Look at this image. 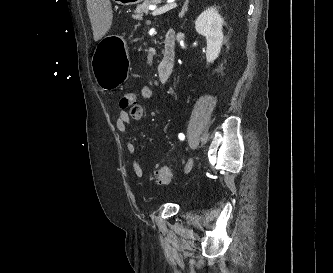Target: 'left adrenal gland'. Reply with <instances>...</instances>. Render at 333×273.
I'll return each mask as SVG.
<instances>
[{
    "instance_id": "left-adrenal-gland-1",
    "label": "left adrenal gland",
    "mask_w": 333,
    "mask_h": 273,
    "mask_svg": "<svg viewBox=\"0 0 333 273\" xmlns=\"http://www.w3.org/2000/svg\"><path fill=\"white\" fill-rule=\"evenodd\" d=\"M188 3H189V0H186L183 7H182V10L181 12L179 13V17L182 18L185 14V12L187 11L188 9Z\"/></svg>"
}]
</instances>
